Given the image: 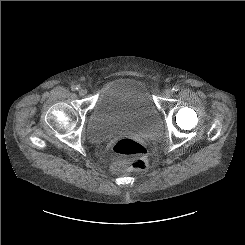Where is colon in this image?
<instances>
[{
	"mask_svg": "<svg viewBox=\"0 0 245 245\" xmlns=\"http://www.w3.org/2000/svg\"><path fill=\"white\" fill-rule=\"evenodd\" d=\"M112 150L116 154L130 157L127 162L115 163L112 166L114 172L144 170L148 166V149L131 137L122 136L115 139L112 143Z\"/></svg>",
	"mask_w": 245,
	"mask_h": 245,
	"instance_id": "obj_1",
	"label": "colon"
}]
</instances>
